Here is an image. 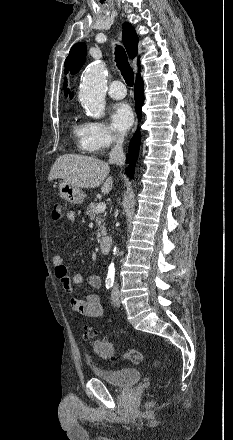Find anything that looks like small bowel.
<instances>
[{"mask_svg": "<svg viewBox=\"0 0 233 440\" xmlns=\"http://www.w3.org/2000/svg\"><path fill=\"white\" fill-rule=\"evenodd\" d=\"M66 219L70 223H75L77 216L74 211L66 213ZM54 273L56 278L60 281L64 293L69 299L71 309L85 317L101 318L104 315V309L101 305L100 298L94 293L74 294L72 290L73 285H78L83 282V275L79 272L69 274L67 266L64 264L63 257L57 254L52 259ZM86 281L93 289H99L102 281L97 274H88Z\"/></svg>", "mask_w": 233, "mask_h": 440, "instance_id": "c3829d8e", "label": "small bowel"}]
</instances>
